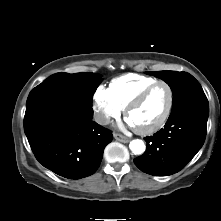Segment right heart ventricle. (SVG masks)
Listing matches in <instances>:
<instances>
[{"mask_svg": "<svg viewBox=\"0 0 221 221\" xmlns=\"http://www.w3.org/2000/svg\"><path fill=\"white\" fill-rule=\"evenodd\" d=\"M156 81L157 79L153 77L126 74L114 78L109 85V89L114 100L123 110L143 89Z\"/></svg>", "mask_w": 221, "mask_h": 221, "instance_id": "obj_1", "label": "right heart ventricle"}]
</instances>
